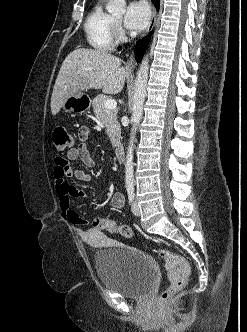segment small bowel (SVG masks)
<instances>
[{"instance_id":"small-bowel-1","label":"small bowel","mask_w":247,"mask_h":332,"mask_svg":"<svg viewBox=\"0 0 247 332\" xmlns=\"http://www.w3.org/2000/svg\"><path fill=\"white\" fill-rule=\"evenodd\" d=\"M89 128L81 126L79 129L80 144L76 148L70 149L66 158L56 157L53 169L56 193L60 202V207L69 222L76 226H88L90 220L83 218L71 206V199L74 197H86L88 194L77 190L67 181L68 177L88 182L91 177L83 170L75 169L71 163L81 160L87 167L96 165V158L87 143ZM110 206L114 209H121L124 206V196L120 191H115L110 197Z\"/></svg>"}]
</instances>
